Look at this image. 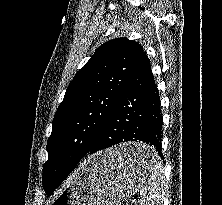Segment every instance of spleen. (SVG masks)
Wrapping results in <instances>:
<instances>
[{"label":"spleen","instance_id":"spleen-1","mask_svg":"<svg viewBox=\"0 0 222 205\" xmlns=\"http://www.w3.org/2000/svg\"><path fill=\"white\" fill-rule=\"evenodd\" d=\"M163 166L153 158L149 174L140 190V205H163L165 200Z\"/></svg>","mask_w":222,"mask_h":205}]
</instances>
